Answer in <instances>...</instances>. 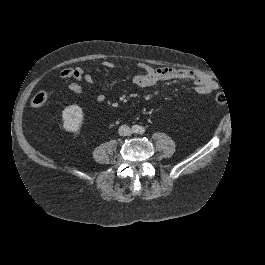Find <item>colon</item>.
Instances as JSON below:
<instances>
[{"label":"colon","mask_w":265,"mask_h":265,"mask_svg":"<svg viewBox=\"0 0 265 265\" xmlns=\"http://www.w3.org/2000/svg\"><path fill=\"white\" fill-rule=\"evenodd\" d=\"M73 74H74L73 69H66L62 71L61 77L70 78L73 76ZM47 99H48V94L45 91H39L31 98L30 103L35 108H41L46 104ZM215 99L219 104H224L226 102V96L224 93L221 92L216 94Z\"/></svg>","instance_id":"colon-1"}]
</instances>
